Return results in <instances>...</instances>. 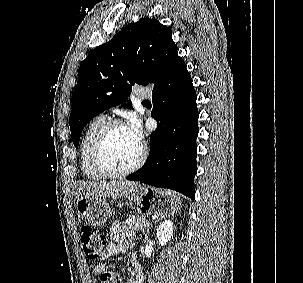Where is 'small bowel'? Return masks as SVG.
I'll list each match as a JSON object with an SVG mask.
<instances>
[{"instance_id":"1","label":"small bowel","mask_w":303,"mask_h":283,"mask_svg":"<svg viewBox=\"0 0 303 283\" xmlns=\"http://www.w3.org/2000/svg\"><path fill=\"white\" fill-rule=\"evenodd\" d=\"M112 241L109 242L104 251L100 255L102 261L109 260L110 258L122 254L127 251L131 246L135 245V240L132 234L124 231L122 229L121 223L116 221L112 224ZM131 266L135 273V278L133 280H128L125 283H140L143 277V271L139 259L134 254L131 258ZM104 269L103 264H96L92 268L93 275H99ZM118 283H122L120 277L117 276Z\"/></svg>"}]
</instances>
